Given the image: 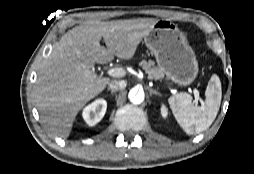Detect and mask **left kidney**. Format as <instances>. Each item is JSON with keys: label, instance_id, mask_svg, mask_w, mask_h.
I'll list each match as a JSON object with an SVG mask.
<instances>
[{"label": "left kidney", "instance_id": "obj_1", "mask_svg": "<svg viewBox=\"0 0 254 174\" xmlns=\"http://www.w3.org/2000/svg\"><path fill=\"white\" fill-rule=\"evenodd\" d=\"M161 115L164 118H166L168 116V109L166 108V106L164 104H162V106H161Z\"/></svg>", "mask_w": 254, "mask_h": 174}]
</instances>
